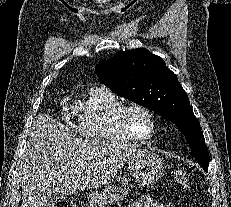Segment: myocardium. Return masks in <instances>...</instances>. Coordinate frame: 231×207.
Wrapping results in <instances>:
<instances>
[{
    "label": "myocardium",
    "mask_w": 231,
    "mask_h": 207,
    "mask_svg": "<svg viewBox=\"0 0 231 207\" xmlns=\"http://www.w3.org/2000/svg\"><path fill=\"white\" fill-rule=\"evenodd\" d=\"M132 110H141L143 111L149 118L151 122V132L149 136L147 137H140L134 133L132 130L128 115ZM117 119L119 126L121 127L122 131L133 141L138 142V143H146L151 141L154 136L156 135L157 132V120L154 112L147 106L136 103V102H131L128 104H124L118 111L117 113Z\"/></svg>",
    "instance_id": "1"
}]
</instances>
